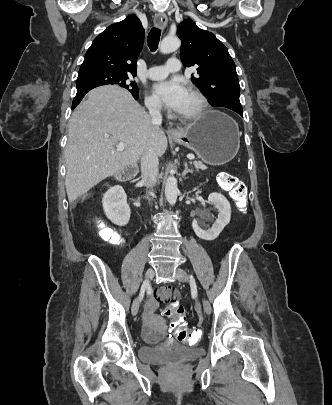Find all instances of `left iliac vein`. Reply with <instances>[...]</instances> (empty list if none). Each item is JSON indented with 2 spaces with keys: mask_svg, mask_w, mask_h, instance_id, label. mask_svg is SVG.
Here are the masks:
<instances>
[{
  "mask_svg": "<svg viewBox=\"0 0 332 405\" xmlns=\"http://www.w3.org/2000/svg\"><path fill=\"white\" fill-rule=\"evenodd\" d=\"M175 277L180 282L186 283L189 281L188 273L182 268L176 269ZM202 305H203L204 312L209 315L211 313V305H210L209 301L205 298H202Z\"/></svg>",
  "mask_w": 332,
  "mask_h": 405,
  "instance_id": "4c4485c4",
  "label": "left iliac vein"
}]
</instances>
